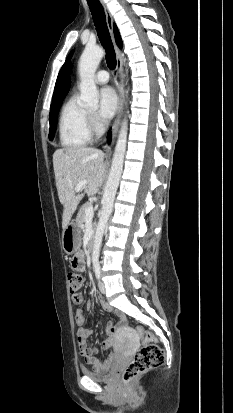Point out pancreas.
<instances>
[{"mask_svg":"<svg viewBox=\"0 0 233 413\" xmlns=\"http://www.w3.org/2000/svg\"><path fill=\"white\" fill-rule=\"evenodd\" d=\"M89 206H90V204L87 203V204L83 205V206L81 207V209L79 210V213H78L77 218H76V223H77V225H78L80 228H84L85 211H86V209H87Z\"/></svg>","mask_w":233,"mask_h":413,"instance_id":"cf45deb5","label":"pancreas"}]
</instances>
